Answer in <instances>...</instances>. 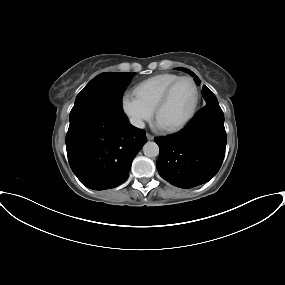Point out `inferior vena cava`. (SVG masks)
<instances>
[{
  "mask_svg": "<svg viewBox=\"0 0 285 285\" xmlns=\"http://www.w3.org/2000/svg\"><path fill=\"white\" fill-rule=\"evenodd\" d=\"M130 123L132 125H134L135 127H138V128H144L145 127L144 122L141 119H138V118H131L130 119Z\"/></svg>",
  "mask_w": 285,
  "mask_h": 285,
  "instance_id": "602c4592",
  "label": "inferior vena cava"
}]
</instances>
